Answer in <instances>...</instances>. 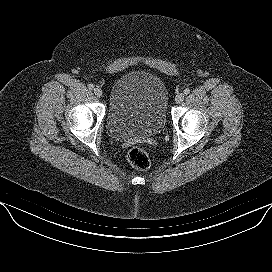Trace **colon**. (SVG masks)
Here are the masks:
<instances>
[{"label": "colon", "instance_id": "obj_1", "mask_svg": "<svg viewBox=\"0 0 272 272\" xmlns=\"http://www.w3.org/2000/svg\"><path fill=\"white\" fill-rule=\"evenodd\" d=\"M129 163L139 170H146L150 166V158L147 152L141 147H132L127 155Z\"/></svg>", "mask_w": 272, "mask_h": 272}]
</instances>
